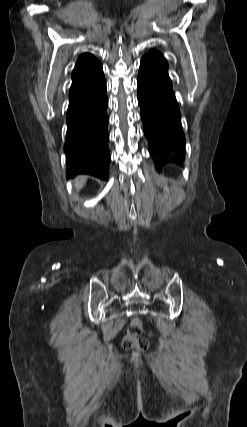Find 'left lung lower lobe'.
<instances>
[{
	"mask_svg": "<svg viewBox=\"0 0 247 427\" xmlns=\"http://www.w3.org/2000/svg\"><path fill=\"white\" fill-rule=\"evenodd\" d=\"M137 88L144 134L156 168L170 162L181 164L185 158V137L167 68L144 56Z\"/></svg>",
	"mask_w": 247,
	"mask_h": 427,
	"instance_id": "0a47b994",
	"label": "left lung lower lobe"
}]
</instances>
